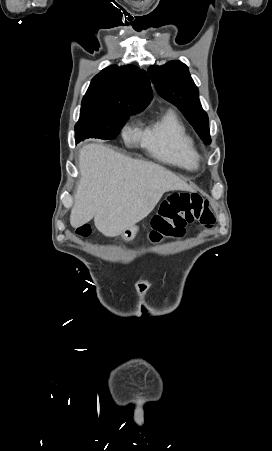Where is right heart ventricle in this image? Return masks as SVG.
<instances>
[{
	"label": "right heart ventricle",
	"mask_w": 272,
	"mask_h": 451,
	"mask_svg": "<svg viewBox=\"0 0 272 451\" xmlns=\"http://www.w3.org/2000/svg\"><path fill=\"white\" fill-rule=\"evenodd\" d=\"M142 144L158 160L193 172L198 166V153L177 117L167 113L141 135Z\"/></svg>",
	"instance_id": "e07e8e85"
}]
</instances>
